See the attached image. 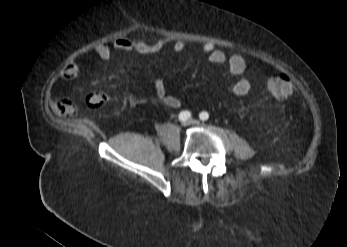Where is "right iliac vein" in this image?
<instances>
[{
    "label": "right iliac vein",
    "mask_w": 347,
    "mask_h": 247,
    "mask_svg": "<svg viewBox=\"0 0 347 247\" xmlns=\"http://www.w3.org/2000/svg\"><path fill=\"white\" fill-rule=\"evenodd\" d=\"M191 123H190V121H184L183 123H182V126L183 127H187V126H189Z\"/></svg>",
    "instance_id": "1"
}]
</instances>
